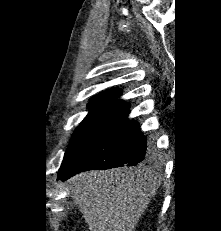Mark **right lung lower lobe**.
Instances as JSON below:
<instances>
[{
  "label": "right lung lower lobe",
  "mask_w": 221,
  "mask_h": 231,
  "mask_svg": "<svg viewBox=\"0 0 221 231\" xmlns=\"http://www.w3.org/2000/svg\"><path fill=\"white\" fill-rule=\"evenodd\" d=\"M129 108L114 118L72 163L61 167L57 179L65 181L82 171L135 166L149 160L155 152L154 143L147 144L139 123L128 119Z\"/></svg>",
  "instance_id": "1"
}]
</instances>
